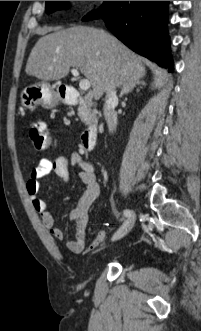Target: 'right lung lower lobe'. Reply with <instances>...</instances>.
Masks as SVG:
<instances>
[{
    "label": "right lung lower lobe",
    "mask_w": 201,
    "mask_h": 331,
    "mask_svg": "<svg viewBox=\"0 0 201 331\" xmlns=\"http://www.w3.org/2000/svg\"><path fill=\"white\" fill-rule=\"evenodd\" d=\"M167 6L168 1H104L99 13L91 12L83 20L101 16L125 45L172 71Z\"/></svg>",
    "instance_id": "obj_1"
}]
</instances>
